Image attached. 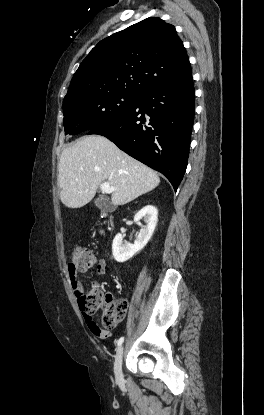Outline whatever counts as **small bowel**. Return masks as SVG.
I'll return each instance as SVG.
<instances>
[{
	"label": "small bowel",
	"instance_id": "c3829d8e",
	"mask_svg": "<svg viewBox=\"0 0 264 415\" xmlns=\"http://www.w3.org/2000/svg\"><path fill=\"white\" fill-rule=\"evenodd\" d=\"M86 270H87V268H81V269L77 270V272H76V273H74V274H71V273L69 272V278H70V282H71V287H72L73 293H74L77 297H79V298H80V297L82 296V294H83V286H82V283H81V281H80L79 276H80L82 273H84ZM96 270H97V272H98L99 274H102V273H104V272H105V270H106V263H105V261H104V260H98V261H97V263H96ZM91 330H92V332H93L95 335H97V336H99V337H102V338L107 337V335H108V331H107V330H105V329H103V328H99L98 330H95V329H92V328H91Z\"/></svg>",
	"mask_w": 264,
	"mask_h": 415
}]
</instances>
